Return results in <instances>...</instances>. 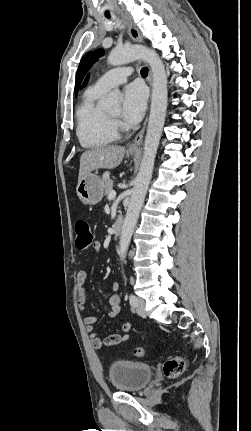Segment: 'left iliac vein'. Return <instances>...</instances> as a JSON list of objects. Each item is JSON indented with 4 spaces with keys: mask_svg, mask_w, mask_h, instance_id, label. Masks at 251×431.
I'll use <instances>...</instances> for the list:
<instances>
[{
    "mask_svg": "<svg viewBox=\"0 0 251 431\" xmlns=\"http://www.w3.org/2000/svg\"><path fill=\"white\" fill-rule=\"evenodd\" d=\"M135 309L138 315L142 317L146 316L145 301L142 298L136 297Z\"/></svg>",
    "mask_w": 251,
    "mask_h": 431,
    "instance_id": "obj_1",
    "label": "left iliac vein"
}]
</instances>
